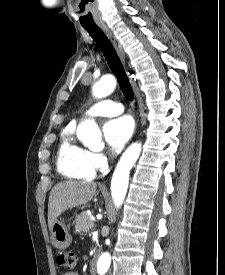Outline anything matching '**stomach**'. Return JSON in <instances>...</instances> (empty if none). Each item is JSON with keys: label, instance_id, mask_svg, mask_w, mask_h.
Here are the masks:
<instances>
[{"label": "stomach", "instance_id": "0dacf381", "mask_svg": "<svg viewBox=\"0 0 225 275\" xmlns=\"http://www.w3.org/2000/svg\"><path fill=\"white\" fill-rule=\"evenodd\" d=\"M50 238L52 244L59 249H65L69 247L72 242V236L69 232V228L61 220H56L50 229Z\"/></svg>", "mask_w": 225, "mask_h": 275}]
</instances>
